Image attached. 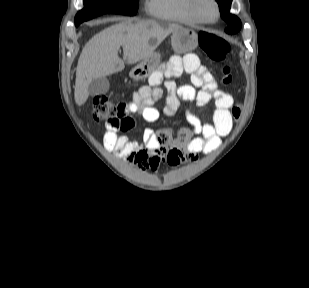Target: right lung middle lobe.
I'll return each mask as SVG.
<instances>
[{"instance_id":"1","label":"right lung middle lobe","mask_w":309,"mask_h":288,"mask_svg":"<svg viewBox=\"0 0 309 288\" xmlns=\"http://www.w3.org/2000/svg\"><path fill=\"white\" fill-rule=\"evenodd\" d=\"M139 0H84V9L75 17V26L105 13L133 16L137 13Z\"/></svg>"}]
</instances>
